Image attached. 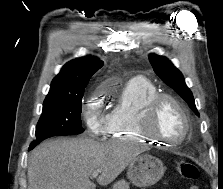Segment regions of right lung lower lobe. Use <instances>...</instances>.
<instances>
[{
	"label": "right lung lower lobe",
	"instance_id": "right-lung-lower-lobe-1",
	"mask_svg": "<svg viewBox=\"0 0 223 189\" xmlns=\"http://www.w3.org/2000/svg\"><path fill=\"white\" fill-rule=\"evenodd\" d=\"M43 140H35L30 144L29 150H32L36 145H38Z\"/></svg>",
	"mask_w": 223,
	"mask_h": 189
}]
</instances>
